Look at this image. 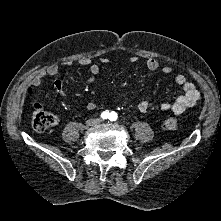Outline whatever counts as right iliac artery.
<instances>
[{"instance_id": "82829eb1", "label": "right iliac artery", "mask_w": 221, "mask_h": 221, "mask_svg": "<svg viewBox=\"0 0 221 221\" xmlns=\"http://www.w3.org/2000/svg\"><path fill=\"white\" fill-rule=\"evenodd\" d=\"M109 112L108 111H104V112H102V114H101V118L102 119H107L108 117H109Z\"/></svg>"}]
</instances>
